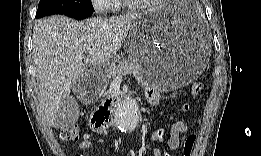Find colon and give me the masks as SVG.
Wrapping results in <instances>:
<instances>
[{
	"instance_id": "5ec220e1",
	"label": "colon",
	"mask_w": 261,
	"mask_h": 156,
	"mask_svg": "<svg viewBox=\"0 0 261 156\" xmlns=\"http://www.w3.org/2000/svg\"><path fill=\"white\" fill-rule=\"evenodd\" d=\"M205 84L203 81H196L191 85L190 94L192 97L199 96L204 90ZM111 118V109L110 103L105 102L104 104L98 106L96 110L90 117V127L95 132H103L105 131L110 124ZM160 138H162V134H159ZM60 137L65 141H73L78 137V132L75 128H67L61 131ZM196 137L195 135L189 136L184 144V155L191 156L193 147L195 144Z\"/></svg>"
}]
</instances>
